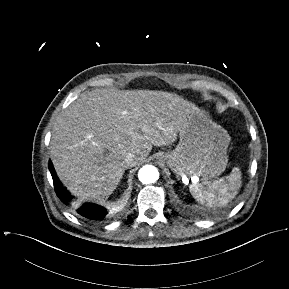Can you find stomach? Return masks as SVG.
I'll return each mask as SVG.
<instances>
[{
	"label": "stomach",
	"mask_w": 289,
	"mask_h": 289,
	"mask_svg": "<svg viewBox=\"0 0 289 289\" xmlns=\"http://www.w3.org/2000/svg\"><path fill=\"white\" fill-rule=\"evenodd\" d=\"M179 137L174 150L159 153V158L177 177L198 176L207 180L224 172L230 136L205 111L199 108L191 111Z\"/></svg>",
	"instance_id": "obj_1"
}]
</instances>
